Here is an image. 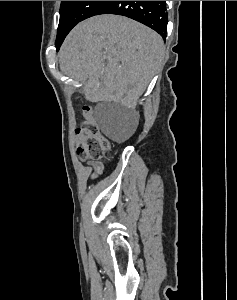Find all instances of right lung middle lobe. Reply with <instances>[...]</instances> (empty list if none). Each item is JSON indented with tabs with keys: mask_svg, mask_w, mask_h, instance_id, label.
<instances>
[{
	"mask_svg": "<svg viewBox=\"0 0 237 300\" xmlns=\"http://www.w3.org/2000/svg\"><path fill=\"white\" fill-rule=\"evenodd\" d=\"M109 1H61L60 21L56 47H60L66 35L80 21L94 16Z\"/></svg>",
	"mask_w": 237,
	"mask_h": 300,
	"instance_id": "right-lung-middle-lobe-1",
	"label": "right lung middle lobe"
}]
</instances>
